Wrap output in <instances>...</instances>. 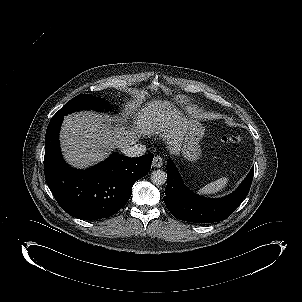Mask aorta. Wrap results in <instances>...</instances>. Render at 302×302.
<instances>
[{"label": "aorta", "mask_w": 302, "mask_h": 302, "mask_svg": "<svg viewBox=\"0 0 302 302\" xmlns=\"http://www.w3.org/2000/svg\"><path fill=\"white\" fill-rule=\"evenodd\" d=\"M167 181V174L163 170H155L151 173V182L156 186H161Z\"/></svg>", "instance_id": "obj_1"}]
</instances>
